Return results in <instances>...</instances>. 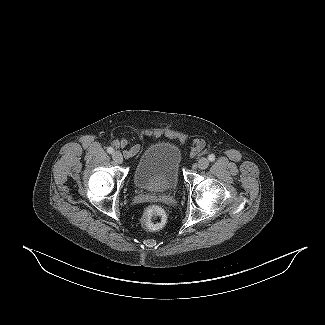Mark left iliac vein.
I'll use <instances>...</instances> for the list:
<instances>
[{
    "label": "left iliac vein",
    "instance_id": "1",
    "mask_svg": "<svg viewBox=\"0 0 325 325\" xmlns=\"http://www.w3.org/2000/svg\"><path fill=\"white\" fill-rule=\"evenodd\" d=\"M208 165H209V161L206 158L199 159V161L197 163L198 168L202 169V170L206 169L208 167Z\"/></svg>",
    "mask_w": 325,
    "mask_h": 325
}]
</instances>
